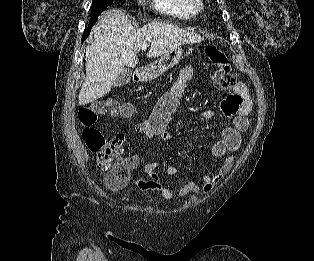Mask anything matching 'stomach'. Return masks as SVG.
Returning <instances> with one entry per match:
<instances>
[{"label": "stomach", "mask_w": 314, "mask_h": 261, "mask_svg": "<svg viewBox=\"0 0 314 261\" xmlns=\"http://www.w3.org/2000/svg\"><path fill=\"white\" fill-rule=\"evenodd\" d=\"M183 55L182 47H177L160 56L153 63L142 68L138 73V80L141 82L152 81L164 72L174 67Z\"/></svg>", "instance_id": "1"}]
</instances>
